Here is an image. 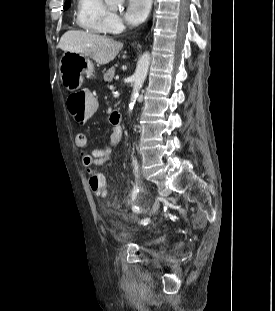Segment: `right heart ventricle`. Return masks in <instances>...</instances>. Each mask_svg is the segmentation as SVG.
Segmentation results:
<instances>
[{"label":"right heart ventricle","mask_w":275,"mask_h":311,"mask_svg":"<svg viewBox=\"0 0 275 311\" xmlns=\"http://www.w3.org/2000/svg\"><path fill=\"white\" fill-rule=\"evenodd\" d=\"M111 11L105 0H77L76 25L83 31L95 35L108 34Z\"/></svg>","instance_id":"1"}]
</instances>
